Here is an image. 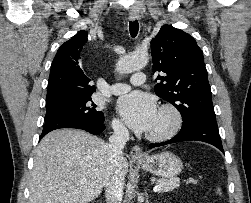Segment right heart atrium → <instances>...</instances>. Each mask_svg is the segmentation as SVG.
I'll use <instances>...</instances> for the list:
<instances>
[{"label":"right heart atrium","instance_id":"1","mask_svg":"<svg viewBox=\"0 0 251 203\" xmlns=\"http://www.w3.org/2000/svg\"><path fill=\"white\" fill-rule=\"evenodd\" d=\"M112 126L116 134L124 135L126 133V128L120 120L114 119L112 122Z\"/></svg>","mask_w":251,"mask_h":203}]
</instances>
